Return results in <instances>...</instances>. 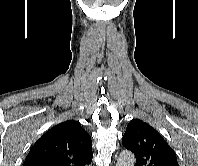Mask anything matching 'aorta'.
<instances>
[{
    "label": "aorta",
    "mask_w": 198,
    "mask_h": 166,
    "mask_svg": "<svg viewBox=\"0 0 198 166\" xmlns=\"http://www.w3.org/2000/svg\"><path fill=\"white\" fill-rule=\"evenodd\" d=\"M135 156L132 152L124 150L120 153L116 166H134Z\"/></svg>",
    "instance_id": "1"
}]
</instances>
